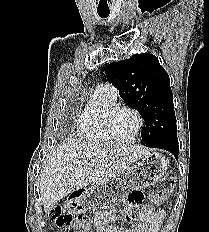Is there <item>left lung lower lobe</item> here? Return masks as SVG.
Listing matches in <instances>:
<instances>
[{"label": "left lung lower lobe", "mask_w": 209, "mask_h": 232, "mask_svg": "<svg viewBox=\"0 0 209 232\" xmlns=\"http://www.w3.org/2000/svg\"><path fill=\"white\" fill-rule=\"evenodd\" d=\"M156 148L169 151L175 156L176 159H178L179 146L177 133L169 134L163 137L157 144Z\"/></svg>", "instance_id": "1"}]
</instances>
